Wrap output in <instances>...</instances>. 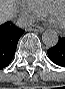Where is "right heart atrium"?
<instances>
[{"instance_id": "obj_1", "label": "right heart atrium", "mask_w": 65, "mask_h": 89, "mask_svg": "<svg viewBox=\"0 0 65 89\" xmlns=\"http://www.w3.org/2000/svg\"><path fill=\"white\" fill-rule=\"evenodd\" d=\"M16 10L24 19L29 22L34 21L45 14V12L39 9L31 1H18L16 4Z\"/></svg>"}]
</instances>
